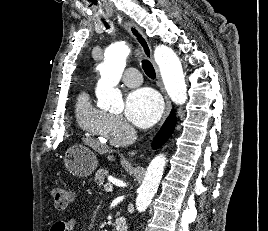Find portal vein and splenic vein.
<instances>
[{
  "label": "portal vein and splenic vein",
  "instance_id": "18ae733b",
  "mask_svg": "<svg viewBox=\"0 0 268 231\" xmlns=\"http://www.w3.org/2000/svg\"><path fill=\"white\" fill-rule=\"evenodd\" d=\"M104 190H105L106 192H112V191H113V186H112V184H111V183H106V184L104 185Z\"/></svg>",
  "mask_w": 268,
  "mask_h": 231
}]
</instances>
